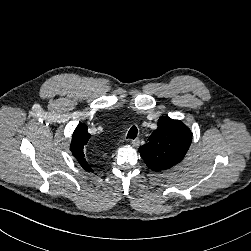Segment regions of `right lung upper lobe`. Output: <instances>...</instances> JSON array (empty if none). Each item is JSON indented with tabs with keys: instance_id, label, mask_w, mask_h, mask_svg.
Listing matches in <instances>:
<instances>
[{
	"instance_id": "cb5924a9",
	"label": "right lung upper lobe",
	"mask_w": 251,
	"mask_h": 251,
	"mask_svg": "<svg viewBox=\"0 0 251 251\" xmlns=\"http://www.w3.org/2000/svg\"><path fill=\"white\" fill-rule=\"evenodd\" d=\"M87 126L84 123L79 124L72 136L70 150L73 156L77 159L79 164L86 171L93 172L89 162L85 158L84 147L88 143L90 134L87 131Z\"/></svg>"
}]
</instances>
